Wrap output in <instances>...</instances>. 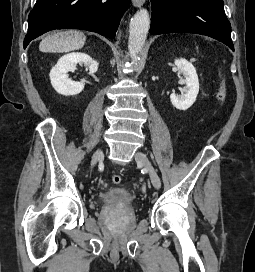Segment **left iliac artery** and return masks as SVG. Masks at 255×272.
Here are the masks:
<instances>
[{
	"label": "left iliac artery",
	"mask_w": 255,
	"mask_h": 272,
	"mask_svg": "<svg viewBox=\"0 0 255 272\" xmlns=\"http://www.w3.org/2000/svg\"><path fill=\"white\" fill-rule=\"evenodd\" d=\"M143 194H146V191H143Z\"/></svg>",
	"instance_id": "1"
}]
</instances>
